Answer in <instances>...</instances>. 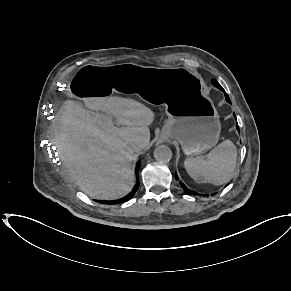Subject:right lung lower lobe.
Returning <instances> with one entry per match:
<instances>
[{
    "label": "right lung lower lobe",
    "instance_id": "98d812e1",
    "mask_svg": "<svg viewBox=\"0 0 291 291\" xmlns=\"http://www.w3.org/2000/svg\"><path fill=\"white\" fill-rule=\"evenodd\" d=\"M140 168V160L137 163L136 166V176H137V183L135 184L134 188L132 189V191L126 195L123 198H120L118 200H111V201H104V200H97L100 203H104V204H120V203H124L127 202L128 200H130L136 193V191L138 190V186H139V178H138V170Z\"/></svg>",
    "mask_w": 291,
    "mask_h": 291
}]
</instances>
